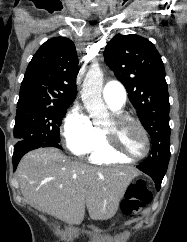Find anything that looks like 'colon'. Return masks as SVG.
I'll return each mask as SVG.
<instances>
[{
	"label": "colon",
	"mask_w": 187,
	"mask_h": 242,
	"mask_svg": "<svg viewBox=\"0 0 187 242\" xmlns=\"http://www.w3.org/2000/svg\"><path fill=\"white\" fill-rule=\"evenodd\" d=\"M152 193L144 180L132 183L122 202V211L129 217L140 216L144 208L151 202Z\"/></svg>",
	"instance_id": "5ec220e1"
}]
</instances>
